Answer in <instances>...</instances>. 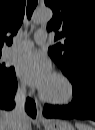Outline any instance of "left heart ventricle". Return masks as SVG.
I'll return each instance as SVG.
<instances>
[{"instance_id": "left-heart-ventricle-1", "label": "left heart ventricle", "mask_w": 95, "mask_h": 130, "mask_svg": "<svg viewBox=\"0 0 95 130\" xmlns=\"http://www.w3.org/2000/svg\"><path fill=\"white\" fill-rule=\"evenodd\" d=\"M42 90L46 96L51 98H62L67 93L65 83L54 75Z\"/></svg>"}]
</instances>
